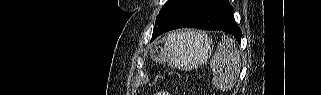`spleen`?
<instances>
[{
	"label": "spleen",
	"instance_id": "3e777b00",
	"mask_svg": "<svg viewBox=\"0 0 321 95\" xmlns=\"http://www.w3.org/2000/svg\"><path fill=\"white\" fill-rule=\"evenodd\" d=\"M240 65V54L235 41L223 35L210 62L212 84L219 90L234 87Z\"/></svg>",
	"mask_w": 321,
	"mask_h": 95
}]
</instances>
